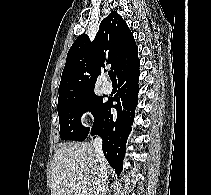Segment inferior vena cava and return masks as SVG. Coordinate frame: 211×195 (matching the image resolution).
I'll return each mask as SVG.
<instances>
[{
	"instance_id": "inferior-vena-cava-1",
	"label": "inferior vena cava",
	"mask_w": 211,
	"mask_h": 195,
	"mask_svg": "<svg viewBox=\"0 0 211 195\" xmlns=\"http://www.w3.org/2000/svg\"><path fill=\"white\" fill-rule=\"evenodd\" d=\"M93 147L96 160L99 164V174L95 181L94 195H104L106 178H107V163L102 151V139L96 136L93 140Z\"/></svg>"
}]
</instances>
